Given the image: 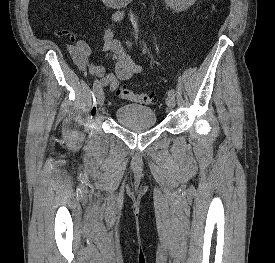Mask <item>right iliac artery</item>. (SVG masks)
I'll return each mask as SVG.
<instances>
[{
	"label": "right iliac artery",
	"mask_w": 275,
	"mask_h": 263,
	"mask_svg": "<svg viewBox=\"0 0 275 263\" xmlns=\"http://www.w3.org/2000/svg\"><path fill=\"white\" fill-rule=\"evenodd\" d=\"M93 90H94L95 93H97L99 90H101V86H100L98 80L94 81V83H93Z\"/></svg>",
	"instance_id": "right-iliac-artery-1"
}]
</instances>
